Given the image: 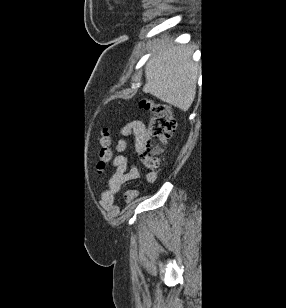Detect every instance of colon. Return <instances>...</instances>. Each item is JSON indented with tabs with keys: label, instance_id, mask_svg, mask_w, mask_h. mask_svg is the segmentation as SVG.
<instances>
[{
	"label": "colon",
	"instance_id": "obj_1",
	"mask_svg": "<svg viewBox=\"0 0 286 308\" xmlns=\"http://www.w3.org/2000/svg\"><path fill=\"white\" fill-rule=\"evenodd\" d=\"M140 106L151 114L148 129L138 150L141 159L150 170L157 168L163 146L176 130V121L172 117L169 104L156 100H142ZM112 139L107 128L101 131L100 150L97 170L103 171L113 157Z\"/></svg>",
	"mask_w": 286,
	"mask_h": 308
}]
</instances>
